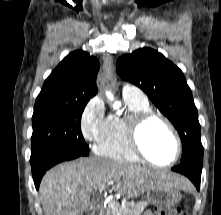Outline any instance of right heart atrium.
<instances>
[{"mask_svg":"<svg viewBox=\"0 0 221 215\" xmlns=\"http://www.w3.org/2000/svg\"><path fill=\"white\" fill-rule=\"evenodd\" d=\"M106 124L105 108L102 101L95 97L85 106L80 118V130L85 140L97 142Z\"/></svg>","mask_w":221,"mask_h":215,"instance_id":"1","label":"right heart atrium"}]
</instances>
